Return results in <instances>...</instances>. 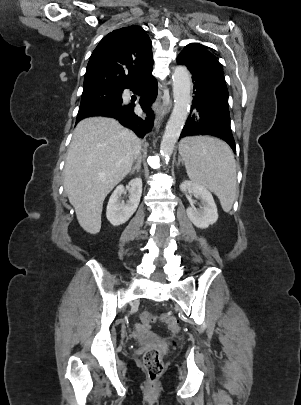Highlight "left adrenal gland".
Instances as JSON below:
<instances>
[{"mask_svg": "<svg viewBox=\"0 0 301 405\" xmlns=\"http://www.w3.org/2000/svg\"><path fill=\"white\" fill-rule=\"evenodd\" d=\"M182 162L181 158H178V166L180 165V163Z\"/></svg>", "mask_w": 301, "mask_h": 405, "instance_id": "1", "label": "left adrenal gland"}]
</instances>
